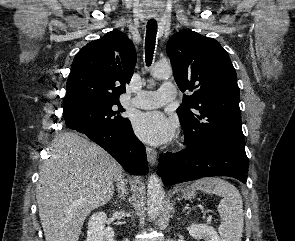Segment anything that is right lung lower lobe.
Masks as SVG:
<instances>
[{
    "label": "right lung lower lobe",
    "instance_id": "obj_1",
    "mask_svg": "<svg viewBox=\"0 0 295 241\" xmlns=\"http://www.w3.org/2000/svg\"><path fill=\"white\" fill-rule=\"evenodd\" d=\"M71 129L84 133L104 148L127 172L136 175L148 174L145 147L135 136L130 122L124 128L86 123Z\"/></svg>",
    "mask_w": 295,
    "mask_h": 241
}]
</instances>
